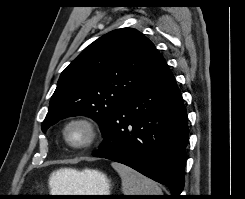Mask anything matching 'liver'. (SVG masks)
I'll return each mask as SVG.
<instances>
[{
  "mask_svg": "<svg viewBox=\"0 0 245 199\" xmlns=\"http://www.w3.org/2000/svg\"><path fill=\"white\" fill-rule=\"evenodd\" d=\"M73 172H75V170H73V169H60V170H58V171H56V172H53L52 175H51V177H50V185H51V187L53 188V185H54V182L51 181V180H52V177H53L56 173L71 174V173H73ZM53 192H54V191H53Z\"/></svg>",
  "mask_w": 245,
  "mask_h": 199,
  "instance_id": "obj_1",
  "label": "liver"
}]
</instances>
